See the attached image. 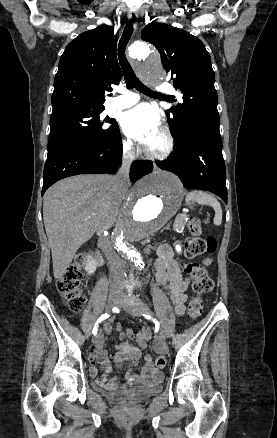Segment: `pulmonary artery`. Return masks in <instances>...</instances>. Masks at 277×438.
<instances>
[{
  "label": "pulmonary artery",
  "instance_id": "e3ab8cb5",
  "mask_svg": "<svg viewBox=\"0 0 277 438\" xmlns=\"http://www.w3.org/2000/svg\"><path fill=\"white\" fill-rule=\"evenodd\" d=\"M164 82H165V84L168 85V84H170L171 81L165 80ZM164 82H162V81L156 82V84H155L156 89H158V90L164 89V87H165ZM137 93H138V90L135 87H123L122 94H123V96H126V97L116 98L113 101V105L118 109H127L139 101V98L135 96V95H137Z\"/></svg>",
  "mask_w": 277,
  "mask_h": 438
}]
</instances>
